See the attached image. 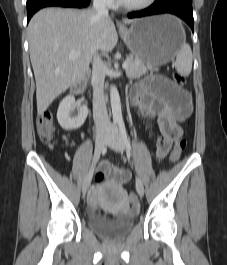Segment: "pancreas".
I'll list each match as a JSON object with an SVG mask.
<instances>
[{"label": "pancreas", "mask_w": 227, "mask_h": 265, "mask_svg": "<svg viewBox=\"0 0 227 265\" xmlns=\"http://www.w3.org/2000/svg\"><path fill=\"white\" fill-rule=\"evenodd\" d=\"M128 68L126 69V75L130 79L139 78L149 71H158V68L152 65H145L143 61L135 57H129L126 59Z\"/></svg>", "instance_id": "cf45deb5"}]
</instances>
